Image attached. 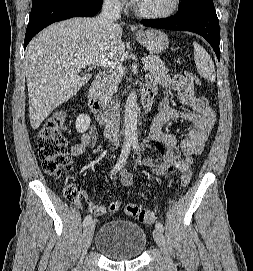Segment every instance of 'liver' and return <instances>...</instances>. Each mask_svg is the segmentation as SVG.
Listing matches in <instances>:
<instances>
[{
	"instance_id": "1",
	"label": "liver",
	"mask_w": 253,
	"mask_h": 271,
	"mask_svg": "<svg viewBox=\"0 0 253 271\" xmlns=\"http://www.w3.org/2000/svg\"><path fill=\"white\" fill-rule=\"evenodd\" d=\"M122 27V23L101 27L97 18H73L50 25L32 39L26 49L25 75L34 130L91 79L90 73L79 74L76 61L122 56Z\"/></svg>"
}]
</instances>
